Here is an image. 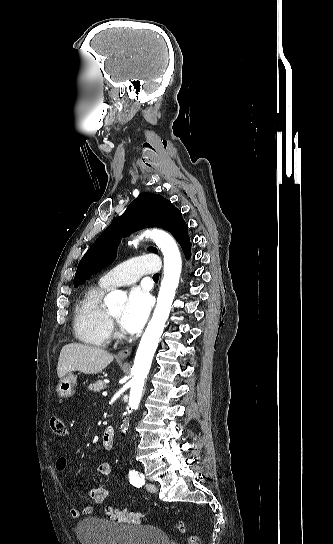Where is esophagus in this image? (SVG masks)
I'll list each match as a JSON object with an SVG mask.
<instances>
[{"mask_svg": "<svg viewBox=\"0 0 333 544\" xmlns=\"http://www.w3.org/2000/svg\"><path fill=\"white\" fill-rule=\"evenodd\" d=\"M131 351H132V347H126L118 352L117 358L121 360H125L126 358L130 356Z\"/></svg>", "mask_w": 333, "mask_h": 544, "instance_id": "34e87169", "label": "esophagus"}]
</instances>
